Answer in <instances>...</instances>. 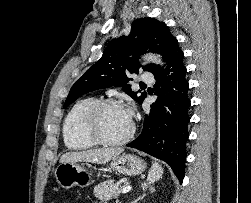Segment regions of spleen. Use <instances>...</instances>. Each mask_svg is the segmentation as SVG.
I'll use <instances>...</instances> for the list:
<instances>
[{"label":"spleen","mask_w":251,"mask_h":203,"mask_svg":"<svg viewBox=\"0 0 251 203\" xmlns=\"http://www.w3.org/2000/svg\"><path fill=\"white\" fill-rule=\"evenodd\" d=\"M163 168L155 161L148 173L147 181L149 184L162 178Z\"/></svg>","instance_id":"3e777b00"}]
</instances>
